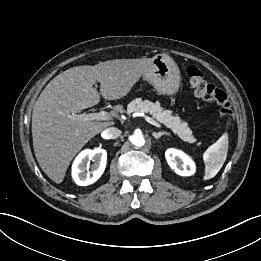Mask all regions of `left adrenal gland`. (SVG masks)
<instances>
[{"mask_svg": "<svg viewBox=\"0 0 261 261\" xmlns=\"http://www.w3.org/2000/svg\"><path fill=\"white\" fill-rule=\"evenodd\" d=\"M152 135L154 136V138H156V139H159L161 136H163V135H167V136H170V134L169 133H167V132H158V133H156V132H153L152 133Z\"/></svg>", "mask_w": 261, "mask_h": 261, "instance_id": "obj_1", "label": "left adrenal gland"}]
</instances>
